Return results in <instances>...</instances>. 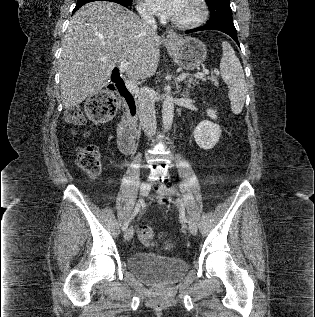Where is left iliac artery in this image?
<instances>
[{"instance_id": "44dca946", "label": "left iliac artery", "mask_w": 315, "mask_h": 317, "mask_svg": "<svg viewBox=\"0 0 315 317\" xmlns=\"http://www.w3.org/2000/svg\"><path fill=\"white\" fill-rule=\"evenodd\" d=\"M173 192H177L176 189L173 188ZM177 194H178V192H177ZM178 195H179V194H178Z\"/></svg>"}]
</instances>
